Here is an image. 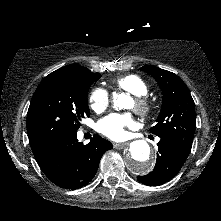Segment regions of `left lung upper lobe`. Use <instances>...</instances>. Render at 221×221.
Here are the masks:
<instances>
[{
	"instance_id": "left-lung-upper-lobe-1",
	"label": "left lung upper lobe",
	"mask_w": 221,
	"mask_h": 221,
	"mask_svg": "<svg viewBox=\"0 0 221 221\" xmlns=\"http://www.w3.org/2000/svg\"><path fill=\"white\" fill-rule=\"evenodd\" d=\"M141 70L158 82L163 98L162 108L151 133L172 143L188 156L196 128L195 104L186 84L174 73L145 65Z\"/></svg>"
}]
</instances>
